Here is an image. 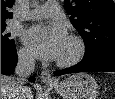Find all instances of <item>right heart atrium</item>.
Here are the masks:
<instances>
[{
	"label": "right heart atrium",
	"mask_w": 115,
	"mask_h": 99,
	"mask_svg": "<svg viewBox=\"0 0 115 99\" xmlns=\"http://www.w3.org/2000/svg\"><path fill=\"white\" fill-rule=\"evenodd\" d=\"M19 58L22 62H25V63H29L32 60V56L30 52L25 48L20 49Z\"/></svg>",
	"instance_id": "right-heart-atrium-1"
}]
</instances>
